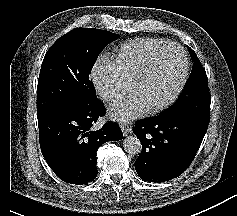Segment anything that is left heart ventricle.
Listing matches in <instances>:
<instances>
[{
    "instance_id": "obj_1",
    "label": "left heart ventricle",
    "mask_w": 237,
    "mask_h": 216,
    "mask_svg": "<svg viewBox=\"0 0 237 216\" xmlns=\"http://www.w3.org/2000/svg\"><path fill=\"white\" fill-rule=\"evenodd\" d=\"M178 62L144 72L136 87V98L157 102L163 99L176 81Z\"/></svg>"
}]
</instances>
